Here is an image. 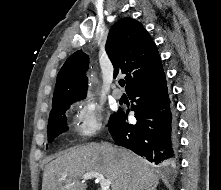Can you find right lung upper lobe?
<instances>
[{
  "mask_svg": "<svg viewBox=\"0 0 221 190\" xmlns=\"http://www.w3.org/2000/svg\"><path fill=\"white\" fill-rule=\"evenodd\" d=\"M106 52L114 66V78L126 74V92L150 82L163 73L157 47L142 24L132 18H122L110 29ZM89 57L81 50L72 54L57 75L52 105L63 101H78L87 94Z\"/></svg>",
  "mask_w": 221,
  "mask_h": 190,
  "instance_id": "obj_1",
  "label": "right lung upper lobe"
}]
</instances>
